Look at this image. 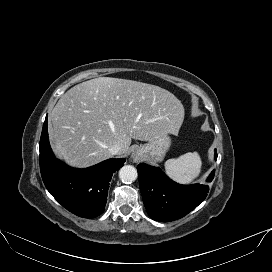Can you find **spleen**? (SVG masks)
<instances>
[{"label": "spleen", "mask_w": 272, "mask_h": 272, "mask_svg": "<svg viewBox=\"0 0 272 272\" xmlns=\"http://www.w3.org/2000/svg\"><path fill=\"white\" fill-rule=\"evenodd\" d=\"M202 161L197 152H189L165 162L167 175L181 184L191 183L201 172Z\"/></svg>", "instance_id": "spleen-1"}]
</instances>
